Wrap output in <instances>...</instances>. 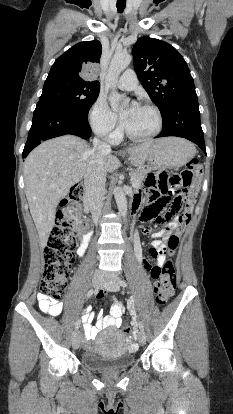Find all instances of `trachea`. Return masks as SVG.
I'll list each match as a JSON object with an SVG mask.
<instances>
[{"label": "trachea", "instance_id": "1", "mask_svg": "<svg viewBox=\"0 0 233 414\" xmlns=\"http://www.w3.org/2000/svg\"><path fill=\"white\" fill-rule=\"evenodd\" d=\"M125 6H126V0H117L116 7L119 13H122L124 11Z\"/></svg>", "mask_w": 233, "mask_h": 414}]
</instances>
